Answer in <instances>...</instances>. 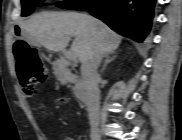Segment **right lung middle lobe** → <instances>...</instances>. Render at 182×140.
<instances>
[{"label":"right lung middle lobe","instance_id":"1","mask_svg":"<svg viewBox=\"0 0 182 140\" xmlns=\"http://www.w3.org/2000/svg\"><path fill=\"white\" fill-rule=\"evenodd\" d=\"M43 0H22V16L31 14L36 6H39ZM100 0H66L57 3L61 8L70 10H83L87 6L99 3Z\"/></svg>","mask_w":182,"mask_h":140}]
</instances>
